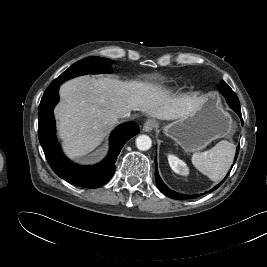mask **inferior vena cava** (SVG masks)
Wrapping results in <instances>:
<instances>
[{
	"mask_svg": "<svg viewBox=\"0 0 267 267\" xmlns=\"http://www.w3.org/2000/svg\"><path fill=\"white\" fill-rule=\"evenodd\" d=\"M121 117H123V118L130 117V112H127V113L122 114Z\"/></svg>",
	"mask_w": 267,
	"mask_h": 267,
	"instance_id": "602c4592",
	"label": "inferior vena cava"
}]
</instances>
